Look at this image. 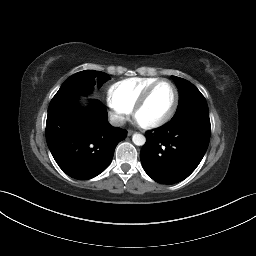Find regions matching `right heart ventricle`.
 <instances>
[{"instance_id": "obj_1", "label": "right heart ventricle", "mask_w": 256, "mask_h": 256, "mask_svg": "<svg viewBox=\"0 0 256 256\" xmlns=\"http://www.w3.org/2000/svg\"><path fill=\"white\" fill-rule=\"evenodd\" d=\"M157 80L135 77L116 82L108 90L109 102L132 110L142 92Z\"/></svg>"}]
</instances>
